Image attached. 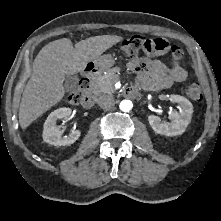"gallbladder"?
<instances>
[{
  "instance_id": "bac80fb5",
  "label": "gallbladder",
  "mask_w": 221,
  "mask_h": 221,
  "mask_svg": "<svg viewBox=\"0 0 221 221\" xmlns=\"http://www.w3.org/2000/svg\"><path fill=\"white\" fill-rule=\"evenodd\" d=\"M77 76L76 75H66L64 80V88L65 90L69 91L72 90L75 85L77 84Z\"/></svg>"
}]
</instances>
